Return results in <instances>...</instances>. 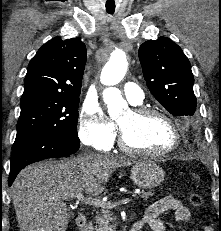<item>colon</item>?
I'll list each match as a JSON object with an SVG mask.
<instances>
[{"label": "colon", "mask_w": 221, "mask_h": 231, "mask_svg": "<svg viewBox=\"0 0 221 231\" xmlns=\"http://www.w3.org/2000/svg\"><path fill=\"white\" fill-rule=\"evenodd\" d=\"M189 202L193 207H200L203 204L202 197L195 192L189 194Z\"/></svg>", "instance_id": "obj_1"}]
</instances>
